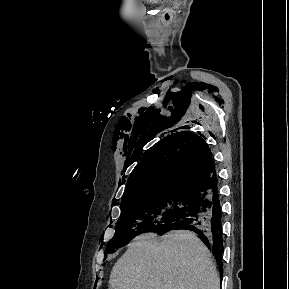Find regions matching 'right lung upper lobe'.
I'll return each instance as SVG.
<instances>
[{"label": "right lung upper lobe", "instance_id": "cb5924a9", "mask_svg": "<svg viewBox=\"0 0 289 289\" xmlns=\"http://www.w3.org/2000/svg\"><path fill=\"white\" fill-rule=\"evenodd\" d=\"M217 182L210 148L188 132L154 145L130 174L122 202L139 196L188 192L199 194Z\"/></svg>", "mask_w": 289, "mask_h": 289}]
</instances>
